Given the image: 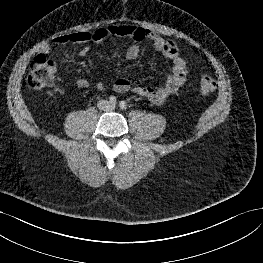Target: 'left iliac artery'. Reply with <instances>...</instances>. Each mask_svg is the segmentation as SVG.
Returning <instances> with one entry per match:
<instances>
[{"label":"left iliac artery","instance_id":"1","mask_svg":"<svg viewBox=\"0 0 263 263\" xmlns=\"http://www.w3.org/2000/svg\"><path fill=\"white\" fill-rule=\"evenodd\" d=\"M119 106H120L121 109H126L127 104H126L125 101H121V102L119 103Z\"/></svg>","mask_w":263,"mask_h":263}]
</instances>
